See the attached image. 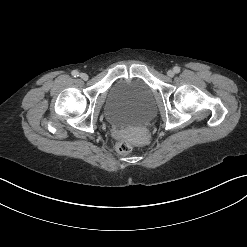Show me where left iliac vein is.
I'll return each instance as SVG.
<instances>
[{
	"instance_id": "obj_1",
	"label": "left iliac vein",
	"mask_w": 247,
	"mask_h": 247,
	"mask_svg": "<svg viewBox=\"0 0 247 247\" xmlns=\"http://www.w3.org/2000/svg\"><path fill=\"white\" fill-rule=\"evenodd\" d=\"M167 75H168L169 77H173V76H174V72H173L172 70H169V71L167 72Z\"/></svg>"
}]
</instances>
